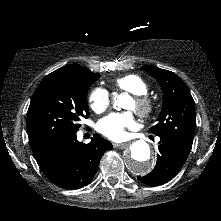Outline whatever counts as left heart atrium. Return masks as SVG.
<instances>
[{"mask_svg": "<svg viewBox=\"0 0 221 221\" xmlns=\"http://www.w3.org/2000/svg\"><path fill=\"white\" fill-rule=\"evenodd\" d=\"M136 121L131 113H112L102 118L98 130L105 137L119 141L127 136V129H134Z\"/></svg>", "mask_w": 221, "mask_h": 221, "instance_id": "obj_1", "label": "left heart atrium"}]
</instances>
